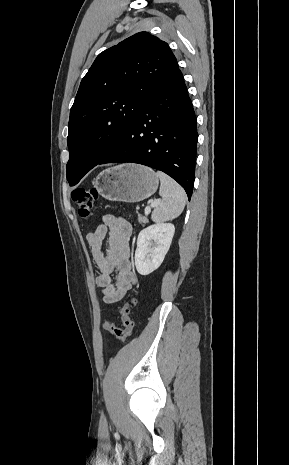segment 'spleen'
Segmentation results:
<instances>
[{
    "label": "spleen",
    "instance_id": "3e777b00",
    "mask_svg": "<svg viewBox=\"0 0 289 465\" xmlns=\"http://www.w3.org/2000/svg\"><path fill=\"white\" fill-rule=\"evenodd\" d=\"M161 185L159 195L161 200L152 212V220L161 223L178 217L184 210L186 203V193L184 189L171 177L158 171Z\"/></svg>",
    "mask_w": 289,
    "mask_h": 465
}]
</instances>
